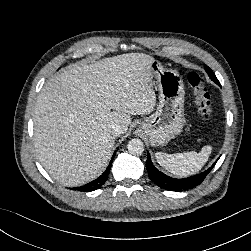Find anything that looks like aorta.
<instances>
[{"mask_svg":"<svg viewBox=\"0 0 251 251\" xmlns=\"http://www.w3.org/2000/svg\"><path fill=\"white\" fill-rule=\"evenodd\" d=\"M127 149L132 155H141L144 151V144L140 139H131L127 144Z\"/></svg>","mask_w":251,"mask_h":251,"instance_id":"obj_1","label":"aorta"}]
</instances>
